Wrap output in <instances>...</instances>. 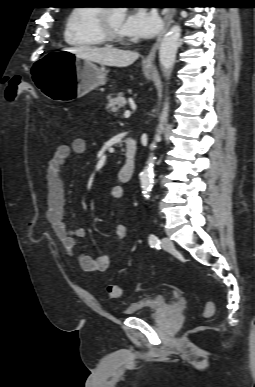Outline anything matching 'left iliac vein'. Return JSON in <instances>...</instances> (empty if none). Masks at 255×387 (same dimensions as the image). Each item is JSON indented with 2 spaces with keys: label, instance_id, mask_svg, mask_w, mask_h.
<instances>
[{
  "label": "left iliac vein",
  "instance_id": "obj_1",
  "mask_svg": "<svg viewBox=\"0 0 255 387\" xmlns=\"http://www.w3.org/2000/svg\"><path fill=\"white\" fill-rule=\"evenodd\" d=\"M161 246L165 250H170L173 249L174 244L168 237H164L162 238Z\"/></svg>",
  "mask_w": 255,
  "mask_h": 387
}]
</instances>
